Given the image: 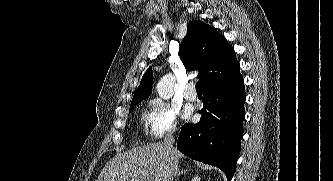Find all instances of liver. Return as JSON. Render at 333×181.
<instances>
[{
    "label": "liver",
    "instance_id": "6515ba94",
    "mask_svg": "<svg viewBox=\"0 0 333 181\" xmlns=\"http://www.w3.org/2000/svg\"><path fill=\"white\" fill-rule=\"evenodd\" d=\"M183 157L177 149L167 150L160 142L133 148L114 156L96 181H168Z\"/></svg>",
    "mask_w": 333,
    "mask_h": 181
}]
</instances>
